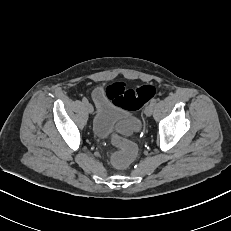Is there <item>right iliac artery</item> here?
<instances>
[{
    "instance_id": "82829eb1",
    "label": "right iliac artery",
    "mask_w": 231,
    "mask_h": 231,
    "mask_svg": "<svg viewBox=\"0 0 231 231\" xmlns=\"http://www.w3.org/2000/svg\"><path fill=\"white\" fill-rule=\"evenodd\" d=\"M82 102H83L84 104H86V103H88V100L84 97V98L82 99Z\"/></svg>"
}]
</instances>
